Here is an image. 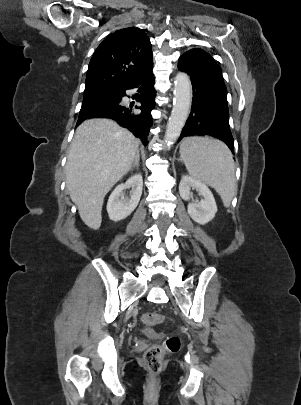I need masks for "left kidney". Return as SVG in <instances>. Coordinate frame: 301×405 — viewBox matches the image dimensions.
Masks as SVG:
<instances>
[{"label":"left kidney","instance_id":"obj_1","mask_svg":"<svg viewBox=\"0 0 301 405\" xmlns=\"http://www.w3.org/2000/svg\"><path fill=\"white\" fill-rule=\"evenodd\" d=\"M191 189L196 190L203 199L190 202L187 207L188 214L195 222L204 225L211 221L217 212L214 196L202 182L190 176H183L179 184V193L183 200H190Z\"/></svg>","mask_w":301,"mask_h":405}]
</instances>
